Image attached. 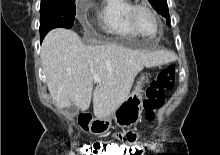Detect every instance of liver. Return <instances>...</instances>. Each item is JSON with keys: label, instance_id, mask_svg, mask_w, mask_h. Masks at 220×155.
Returning <instances> with one entry per match:
<instances>
[{"label": "liver", "instance_id": "6515ba94", "mask_svg": "<svg viewBox=\"0 0 220 155\" xmlns=\"http://www.w3.org/2000/svg\"><path fill=\"white\" fill-rule=\"evenodd\" d=\"M174 59L167 51L133 50L118 44L87 46L77 33L63 28L51 30L41 47L47 86L56 106L62 109L75 105L84 112L93 97V113L99 119L110 116L128 98L144 66L167 64ZM94 73L101 82L94 80Z\"/></svg>", "mask_w": 220, "mask_h": 155}]
</instances>
